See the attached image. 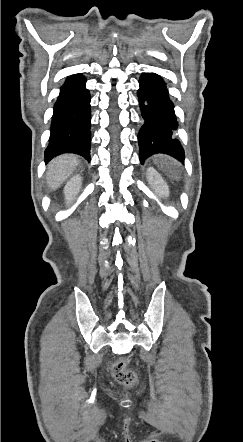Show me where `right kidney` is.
Listing matches in <instances>:
<instances>
[{"instance_id": "1", "label": "right kidney", "mask_w": 243, "mask_h": 442, "mask_svg": "<svg viewBox=\"0 0 243 442\" xmlns=\"http://www.w3.org/2000/svg\"><path fill=\"white\" fill-rule=\"evenodd\" d=\"M82 184L80 175L73 176L64 187V195L67 203H71L77 196Z\"/></svg>"}]
</instances>
